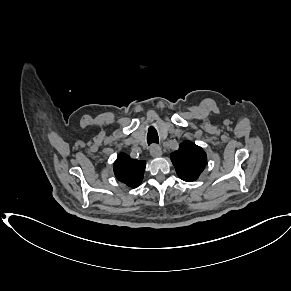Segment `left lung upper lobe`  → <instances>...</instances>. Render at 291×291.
<instances>
[{
  "instance_id": "left-lung-upper-lobe-1",
  "label": "left lung upper lobe",
  "mask_w": 291,
  "mask_h": 291,
  "mask_svg": "<svg viewBox=\"0 0 291 291\" xmlns=\"http://www.w3.org/2000/svg\"><path fill=\"white\" fill-rule=\"evenodd\" d=\"M177 175L184 181L196 180L207 164L204 150L196 144L185 141L171 154Z\"/></svg>"
}]
</instances>
